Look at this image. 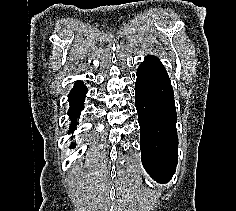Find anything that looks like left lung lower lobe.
I'll return each instance as SVG.
<instances>
[{
	"label": "left lung lower lobe",
	"instance_id": "left-lung-lower-lobe-1",
	"mask_svg": "<svg viewBox=\"0 0 236 211\" xmlns=\"http://www.w3.org/2000/svg\"><path fill=\"white\" fill-rule=\"evenodd\" d=\"M136 74L142 163L153 179L165 183L175 173L178 154L171 81L161 61L153 55L145 57Z\"/></svg>",
	"mask_w": 236,
	"mask_h": 211
}]
</instances>
